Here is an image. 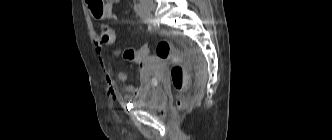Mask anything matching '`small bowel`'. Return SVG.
Listing matches in <instances>:
<instances>
[{"instance_id":"1","label":"small bowel","mask_w":332,"mask_h":140,"mask_svg":"<svg viewBox=\"0 0 332 140\" xmlns=\"http://www.w3.org/2000/svg\"><path fill=\"white\" fill-rule=\"evenodd\" d=\"M119 2H120V0H108L105 11L101 18L102 19H112L114 17L113 7L115 4H117ZM116 37L117 36L105 37L100 34L99 38L96 40V43H95L96 52L98 54L101 53V43L112 44L116 40ZM144 59L138 62L141 65L140 85L139 86H135V85L127 82L128 76L125 71H120L117 74V81L124 84L123 89L125 92L126 99H131L133 97H144L151 88L152 83H151L150 75H149L146 67L143 65ZM100 64H101V67L104 72V77H105V81H106L108 90L110 91L111 94L118 93L117 82L112 77L109 69L106 66L105 61L102 58H100Z\"/></svg>"}]
</instances>
